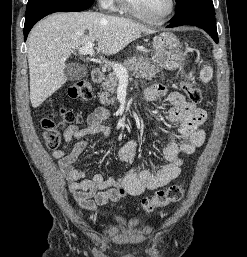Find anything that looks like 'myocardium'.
<instances>
[{
	"label": "myocardium",
	"instance_id": "myocardium-1",
	"mask_svg": "<svg viewBox=\"0 0 247 257\" xmlns=\"http://www.w3.org/2000/svg\"><path fill=\"white\" fill-rule=\"evenodd\" d=\"M121 4L124 10L127 11L132 16L153 25H162L166 23L171 18V16L173 15L176 9V0H170L168 11L159 18H152L140 12L136 8L132 0H121Z\"/></svg>",
	"mask_w": 247,
	"mask_h": 257
}]
</instances>
